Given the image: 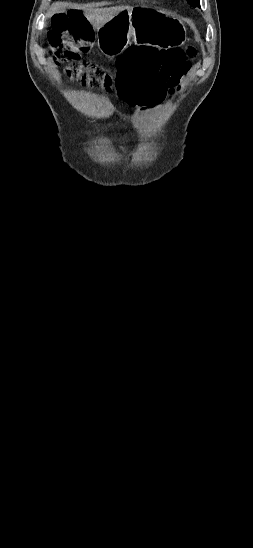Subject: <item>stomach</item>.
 Segmentation results:
<instances>
[{
    "label": "stomach",
    "instance_id": "0dacf381",
    "mask_svg": "<svg viewBox=\"0 0 253 548\" xmlns=\"http://www.w3.org/2000/svg\"><path fill=\"white\" fill-rule=\"evenodd\" d=\"M98 47L106 56L122 53L131 41L135 44L180 45L185 27L177 19L148 9L124 10L97 29Z\"/></svg>",
    "mask_w": 253,
    "mask_h": 548
}]
</instances>
